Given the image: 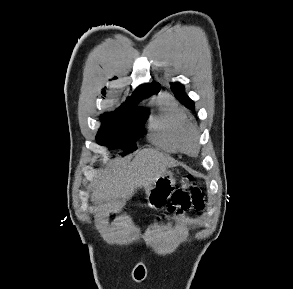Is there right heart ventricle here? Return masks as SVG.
Returning <instances> with one entry per match:
<instances>
[{"label": "right heart ventricle", "mask_w": 293, "mask_h": 289, "mask_svg": "<svg viewBox=\"0 0 293 289\" xmlns=\"http://www.w3.org/2000/svg\"><path fill=\"white\" fill-rule=\"evenodd\" d=\"M152 106L150 139L166 151H181V136L190 124L186 114L166 93L160 94Z\"/></svg>", "instance_id": "obj_1"}]
</instances>
